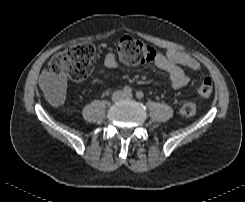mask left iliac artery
Segmentation results:
<instances>
[{"label": "left iliac artery", "mask_w": 245, "mask_h": 202, "mask_svg": "<svg viewBox=\"0 0 245 202\" xmlns=\"http://www.w3.org/2000/svg\"><path fill=\"white\" fill-rule=\"evenodd\" d=\"M136 97H137L138 99H143V97H144L143 92H142V91H138V92L136 93Z\"/></svg>", "instance_id": "obj_1"}]
</instances>
